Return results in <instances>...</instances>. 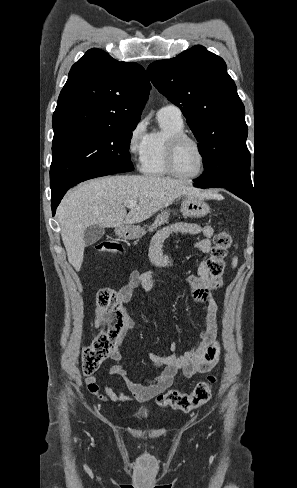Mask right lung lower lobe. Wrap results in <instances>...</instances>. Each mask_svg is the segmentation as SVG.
I'll list each match as a JSON object with an SVG mask.
<instances>
[{
    "label": "right lung lower lobe",
    "mask_w": 297,
    "mask_h": 488,
    "mask_svg": "<svg viewBox=\"0 0 297 488\" xmlns=\"http://www.w3.org/2000/svg\"><path fill=\"white\" fill-rule=\"evenodd\" d=\"M112 174H115V173L99 174V175L92 176V177H90V178H88V179H91V178H96V177H101V176H106V175H112ZM88 179H86V180H88ZM84 181H85V180H84ZM67 190H68V189H67ZM67 190H66V191H67ZM66 191H65V192H63L62 194H60V195H58V196H56V197H54V198H52V199H51V202H52L51 207H52V214H53V215H55L56 208H57V206L59 205V203H60L61 199L63 198V196L65 195Z\"/></svg>",
    "instance_id": "1"
}]
</instances>
